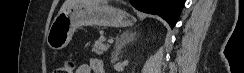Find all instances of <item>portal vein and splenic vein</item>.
<instances>
[{
    "label": "portal vein and splenic vein",
    "mask_w": 244,
    "mask_h": 73,
    "mask_svg": "<svg viewBox=\"0 0 244 73\" xmlns=\"http://www.w3.org/2000/svg\"><path fill=\"white\" fill-rule=\"evenodd\" d=\"M114 42V40L113 39H108V43H113Z\"/></svg>",
    "instance_id": "18ae733b"
}]
</instances>
